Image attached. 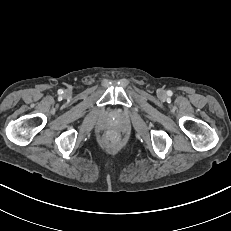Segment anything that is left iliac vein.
Returning <instances> with one entry per match:
<instances>
[{
	"label": "left iliac vein",
	"instance_id": "left-iliac-vein-1",
	"mask_svg": "<svg viewBox=\"0 0 231 231\" xmlns=\"http://www.w3.org/2000/svg\"><path fill=\"white\" fill-rule=\"evenodd\" d=\"M158 94H159V96H161V97L165 95V93H164L163 90H159Z\"/></svg>",
	"mask_w": 231,
	"mask_h": 231
}]
</instances>
